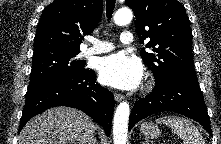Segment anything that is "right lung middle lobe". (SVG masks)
<instances>
[{"label":"right lung middle lobe","mask_w":221,"mask_h":144,"mask_svg":"<svg viewBox=\"0 0 221 144\" xmlns=\"http://www.w3.org/2000/svg\"><path fill=\"white\" fill-rule=\"evenodd\" d=\"M79 52L46 50L34 53L28 88L33 87L54 76L80 74L87 69L75 57Z\"/></svg>","instance_id":"1"}]
</instances>
